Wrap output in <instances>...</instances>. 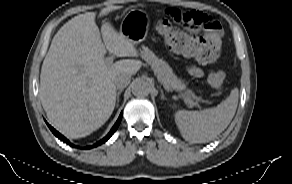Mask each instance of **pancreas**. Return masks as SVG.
<instances>
[{"label":"pancreas","instance_id":"pancreas-1","mask_svg":"<svg viewBox=\"0 0 292 184\" xmlns=\"http://www.w3.org/2000/svg\"><path fill=\"white\" fill-rule=\"evenodd\" d=\"M141 56L152 67L155 75L166 88L177 91H182L185 89V84L182 80L177 78L170 66L164 60L159 59L147 47L142 48ZM185 94V98L191 101V97L193 96L192 92L187 90Z\"/></svg>","mask_w":292,"mask_h":184}]
</instances>
